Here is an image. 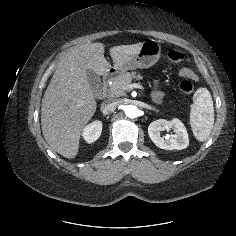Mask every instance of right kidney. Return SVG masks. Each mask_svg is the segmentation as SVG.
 <instances>
[{"label":"right kidney","mask_w":236,"mask_h":236,"mask_svg":"<svg viewBox=\"0 0 236 236\" xmlns=\"http://www.w3.org/2000/svg\"><path fill=\"white\" fill-rule=\"evenodd\" d=\"M102 132V122L94 121L84 128L83 137L86 142L92 143L96 141Z\"/></svg>","instance_id":"obj_1"}]
</instances>
